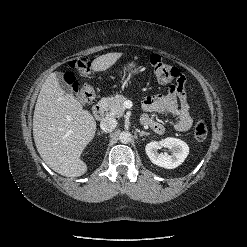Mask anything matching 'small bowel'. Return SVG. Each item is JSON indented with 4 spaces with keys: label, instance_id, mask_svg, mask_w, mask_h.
<instances>
[{
    "label": "small bowel",
    "instance_id": "small-bowel-1",
    "mask_svg": "<svg viewBox=\"0 0 247 247\" xmlns=\"http://www.w3.org/2000/svg\"><path fill=\"white\" fill-rule=\"evenodd\" d=\"M142 107L146 112H155L171 116L175 119V129L179 132L188 131L192 125L190 107L183 83L173 86L166 94L146 96L142 99ZM141 123L149 126L155 133L163 134L164 126L145 114Z\"/></svg>",
    "mask_w": 247,
    "mask_h": 247
}]
</instances>
